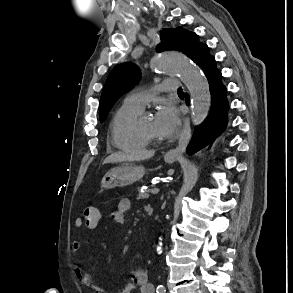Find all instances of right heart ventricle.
Masks as SVG:
<instances>
[{
  "instance_id": "obj_1",
  "label": "right heart ventricle",
  "mask_w": 293,
  "mask_h": 293,
  "mask_svg": "<svg viewBox=\"0 0 293 293\" xmlns=\"http://www.w3.org/2000/svg\"><path fill=\"white\" fill-rule=\"evenodd\" d=\"M142 111L125 104L116 111L110 125L111 143L114 147L127 152L148 147V143L137 131V120Z\"/></svg>"
}]
</instances>
